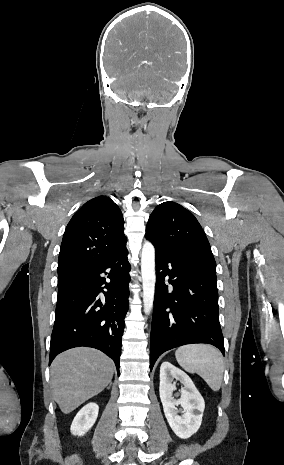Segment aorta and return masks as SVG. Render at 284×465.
<instances>
[{"mask_svg":"<svg viewBox=\"0 0 284 465\" xmlns=\"http://www.w3.org/2000/svg\"><path fill=\"white\" fill-rule=\"evenodd\" d=\"M141 274L143 282L144 313L149 315L153 309L155 294V248L150 242H145L141 254Z\"/></svg>","mask_w":284,"mask_h":465,"instance_id":"aorta-1","label":"aorta"}]
</instances>
